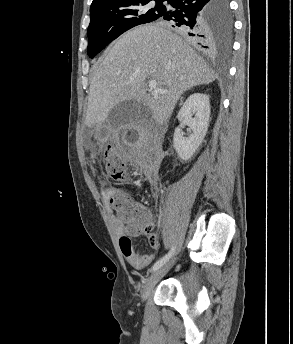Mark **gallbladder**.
<instances>
[{
  "label": "gallbladder",
  "instance_id": "obj_1",
  "mask_svg": "<svg viewBox=\"0 0 293 344\" xmlns=\"http://www.w3.org/2000/svg\"><path fill=\"white\" fill-rule=\"evenodd\" d=\"M147 108L137 101H123L115 105L108 114L104 124L97 130V138L105 139L111 128H119L139 120Z\"/></svg>",
  "mask_w": 293,
  "mask_h": 344
}]
</instances>
